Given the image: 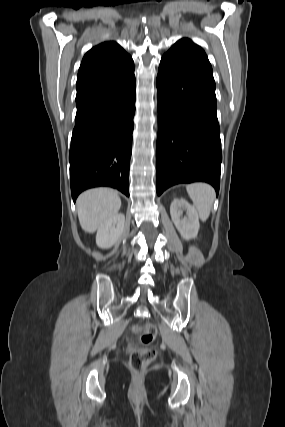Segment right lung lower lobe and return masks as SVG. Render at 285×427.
I'll return each instance as SVG.
<instances>
[{
    "mask_svg": "<svg viewBox=\"0 0 285 427\" xmlns=\"http://www.w3.org/2000/svg\"><path fill=\"white\" fill-rule=\"evenodd\" d=\"M136 82L134 70L76 96V122L69 154L71 193L110 186L129 195Z\"/></svg>",
    "mask_w": 285,
    "mask_h": 427,
    "instance_id": "1",
    "label": "right lung lower lobe"
}]
</instances>
